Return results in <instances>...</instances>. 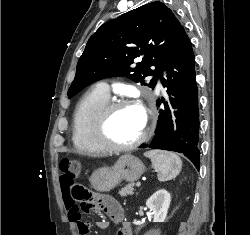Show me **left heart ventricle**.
Masks as SVG:
<instances>
[{"label": "left heart ventricle", "instance_id": "1", "mask_svg": "<svg viewBox=\"0 0 250 235\" xmlns=\"http://www.w3.org/2000/svg\"><path fill=\"white\" fill-rule=\"evenodd\" d=\"M143 127L144 117L136 107L121 108L111 116L107 135L116 144H127L141 134Z\"/></svg>", "mask_w": 250, "mask_h": 235}]
</instances>
